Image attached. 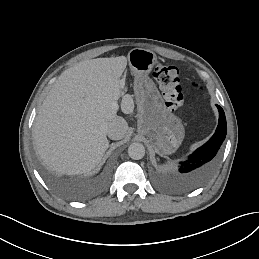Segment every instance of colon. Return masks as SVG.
I'll return each instance as SVG.
<instances>
[{
	"mask_svg": "<svg viewBox=\"0 0 259 259\" xmlns=\"http://www.w3.org/2000/svg\"><path fill=\"white\" fill-rule=\"evenodd\" d=\"M152 74L168 109L171 111L180 110L184 105V96L182 94L178 69L172 65L159 63L154 66ZM190 87L199 92L203 91V86L197 81H191Z\"/></svg>",
	"mask_w": 259,
	"mask_h": 259,
	"instance_id": "colon-1",
	"label": "colon"
}]
</instances>
